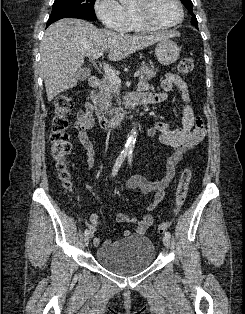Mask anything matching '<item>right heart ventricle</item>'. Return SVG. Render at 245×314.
I'll list each match as a JSON object with an SVG mask.
<instances>
[{
	"label": "right heart ventricle",
	"mask_w": 245,
	"mask_h": 314,
	"mask_svg": "<svg viewBox=\"0 0 245 314\" xmlns=\"http://www.w3.org/2000/svg\"><path fill=\"white\" fill-rule=\"evenodd\" d=\"M126 13H127V22H126L125 28L123 29V32H145V31L154 30L151 27H148L139 23L135 19L131 8H126Z\"/></svg>",
	"instance_id": "right-heart-ventricle-1"
}]
</instances>
